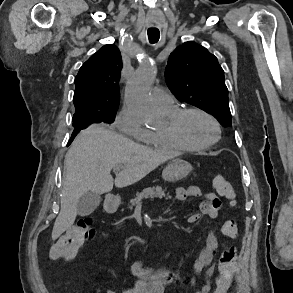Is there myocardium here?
Returning a JSON list of instances; mask_svg holds the SVG:
<instances>
[{
    "instance_id": "f54148a6",
    "label": "myocardium",
    "mask_w": 293,
    "mask_h": 293,
    "mask_svg": "<svg viewBox=\"0 0 293 293\" xmlns=\"http://www.w3.org/2000/svg\"><path fill=\"white\" fill-rule=\"evenodd\" d=\"M191 113H197V114L203 115L213 124L216 134H215V137L211 141L204 144L196 145V144L190 143L185 138L183 134V130H182V123L184 118L188 114H191ZM165 128H166V131L174 139H176L178 142H180L181 144H183L190 150H195V151L206 150L212 147L213 145H215L216 143L220 141L222 136L221 126L218 120L209 112L198 107H188V108L178 109L177 112L167 120V124Z\"/></svg>"
}]
</instances>
